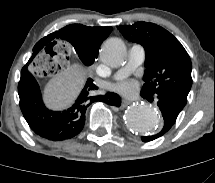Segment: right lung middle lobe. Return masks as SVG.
Listing matches in <instances>:
<instances>
[{"label":"right lung middle lobe","instance_id":"dd1d6c3e","mask_svg":"<svg viewBox=\"0 0 215 183\" xmlns=\"http://www.w3.org/2000/svg\"><path fill=\"white\" fill-rule=\"evenodd\" d=\"M80 34H81V31L79 27H76L75 31L70 32V35L67 37V41H69L73 45L75 51L77 52L83 64H85L86 66H89L94 62L96 57L92 56L85 50L80 38Z\"/></svg>","mask_w":215,"mask_h":183}]
</instances>
